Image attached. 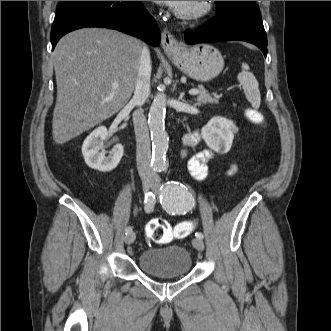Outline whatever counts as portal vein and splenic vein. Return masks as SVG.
<instances>
[{
  "label": "portal vein and splenic vein",
  "instance_id": "18ae733b",
  "mask_svg": "<svg viewBox=\"0 0 331 331\" xmlns=\"http://www.w3.org/2000/svg\"><path fill=\"white\" fill-rule=\"evenodd\" d=\"M112 88H113V89H117V88H118V84H117V83H113V84H112ZM189 94H190V95H197V94H199V91H198L197 89H191V90L189 91Z\"/></svg>",
  "mask_w": 331,
  "mask_h": 331
}]
</instances>
